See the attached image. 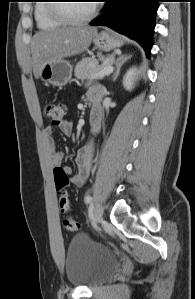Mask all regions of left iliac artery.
Instances as JSON below:
<instances>
[{
	"label": "left iliac artery",
	"mask_w": 195,
	"mask_h": 299,
	"mask_svg": "<svg viewBox=\"0 0 195 299\" xmlns=\"http://www.w3.org/2000/svg\"><path fill=\"white\" fill-rule=\"evenodd\" d=\"M92 202V197L90 195L85 197V203H91Z\"/></svg>",
	"instance_id": "left-iliac-artery-1"
}]
</instances>
